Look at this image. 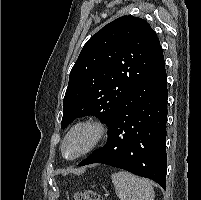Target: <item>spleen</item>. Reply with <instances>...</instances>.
<instances>
[{
  "label": "spleen",
  "instance_id": "3e777b00",
  "mask_svg": "<svg viewBox=\"0 0 201 200\" xmlns=\"http://www.w3.org/2000/svg\"><path fill=\"white\" fill-rule=\"evenodd\" d=\"M112 183L120 200H154L155 194L150 181L126 171L111 175Z\"/></svg>",
  "mask_w": 201,
  "mask_h": 200
}]
</instances>
